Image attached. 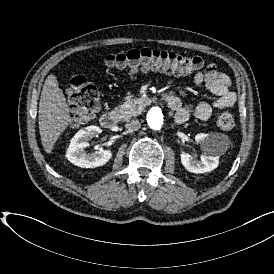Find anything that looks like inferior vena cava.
I'll return each instance as SVG.
<instances>
[{
  "mask_svg": "<svg viewBox=\"0 0 274 274\" xmlns=\"http://www.w3.org/2000/svg\"><path fill=\"white\" fill-rule=\"evenodd\" d=\"M125 127H126L129 131H137V130L140 129L141 123H140V121L137 120V119H129V120L126 121Z\"/></svg>",
  "mask_w": 274,
  "mask_h": 274,
  "instance_id": "602c4592",
  "label": "inferior vena cava"
}]
</instances>
